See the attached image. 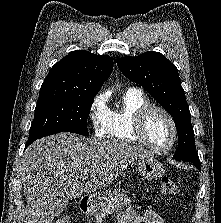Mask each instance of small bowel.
Instances as JSON below:
<instances>
[{
  "mask_svg": "<svg viewBox=\"0 0 221 223\" xmlns=\"http://www.w3.org/2000/svg\"><path fill=\"white\" fill-rule=\"evenodd\" d=\"M119 220V223H165V220L154 210L135 207H129L122 212Z\"/></svg>",
  "mask_w": 221,
  "mask_h": 223,
  "instance_id": "1",
  "label": "small bowel"
}]
</instances>
